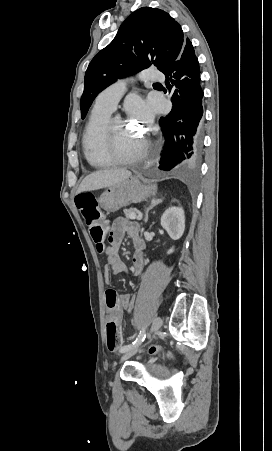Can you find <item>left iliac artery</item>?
<instances>
[{"label": "left iliac artery", "mask_w": 272, "mask_h": 451, "mask_svg": "<svg viewBox=\"0 0 272 451\" xmlns=\"http://www.w3.org/2000/svg\"><path fill=\"white\" fill-rule=\"evenodd\" d=\"M145 338H146L145 327H142V329L140 330V333H139L138 337L136 338V340L134 342H132L131 344L123 346L120 349V352L124 353V352H127V351L135 348L136 346L141 344L145 340Z\"/></svg>", "instance_id": "obj_1"}]
</instances>
